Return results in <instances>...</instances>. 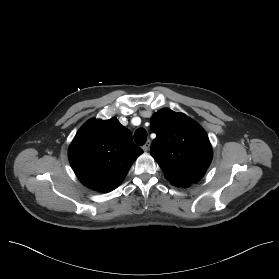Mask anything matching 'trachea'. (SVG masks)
I'll return each instance as SVG.
<instances>
[{"instance_id": "trachea-1", "label": "trachea", "mask_w": 279, "mask_h": 279, "mask_svg": "<svg viewBox=\"0 0 279 279\" xmlns=\"http://www.w3.org/2000/svg\"><path fill=\"white\" fill-rule=\"evenodd\" d=\"M134 140L138 145H144L147 140V132L144 128H139L134 133Z\"/></svg>"}]
</instances>
